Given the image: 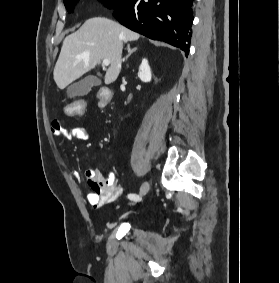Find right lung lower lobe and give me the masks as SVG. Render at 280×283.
Here are the masks:
<instances>
[{"mask_svg": "<svg viewBox=\"0 0 280 283\" xmlns=\"http://www.w3.org/2000/svg\"><path fill=\"white\" fill-rule=\"evenodd\" d=\"M194 0H128L113 16L127 28L165 41L188 55Z\"/></svg>", "mask_w": 280, "mask_h": 283, "instance_id": "obj_1", "label": "right lung lower lobe"}]
</instances>
